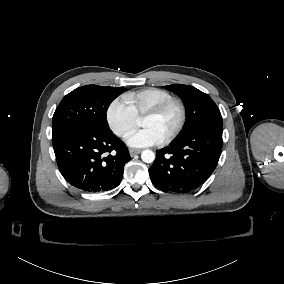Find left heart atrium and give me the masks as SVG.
Here are the masks:
<instances>
[{"mask_svg": "<svg viewBox=\"0 0 284 284\" xmlns=\"http://www.w3.org/2000/svg\"><path fill=\"white\" fill-rule=\"evenodd\" d=\"M125 142L133 148L154 146L161 143V138L151 128H141L130 131Z\"/></svg>", "mask_w": 284, "mask_h": 284, "instance_id": "1", "label": "left heart atrium"}]
</instances>
